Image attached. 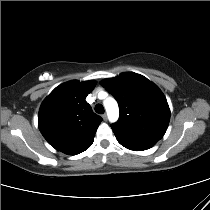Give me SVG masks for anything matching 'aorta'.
Returning a JSON list of instances; mask_svg holds the SVG:
<instances>
[{"instance_id": "aorta-1", "label": "aorta", "mask_w": 210, "mask_h": 210, "mask_svg": "<svg viewBox=\"0 0 210 210\" xmlns=\"http://www.w3.org/2000/svg\"><path fill=\"white\" fill-rule=\"evenodd\" d=\"M104 107L106 109L108 119L111 123H114L119 118V108L116 100L112 97H108L104 100Z\"/></svg>"}]
</instances>
